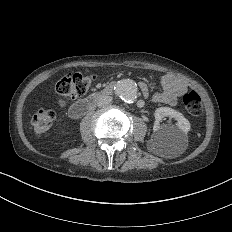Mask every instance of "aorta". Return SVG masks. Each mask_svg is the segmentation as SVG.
I'll use <instances>...</instances> for the list:
<instances>
[{
    "mask_svg": "<svg viewBox=\"0 0 232 232\" xmlns=\"http://www.w3.org/2000/svg\"><path fill=\"white\" fill-rule=\"evenodd\" d=\"M115 94L124 102L133 103L137 97V86L131 80H121L115 85Z\"/></svg>",
    "mask_w": 232,
    "mask_h": 232,
    "instance_id": "aorta-1",
    "label": "aorta"
}]
</instances>
